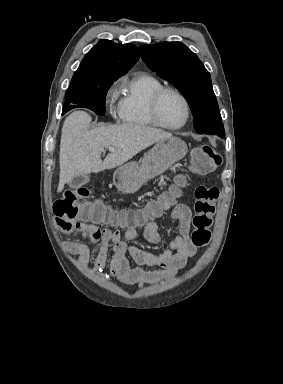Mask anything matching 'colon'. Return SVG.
Here are the masks:
<instances>
[{"mask_svg": "<svg viewBox=\"0 0 283 384\" xmlns=\"http://www.w3.org/2000/svg\"><path fill=\"white\" fill-rule=\"evenodd\" d=\"M220 156L209 145H201L192 151V165L197 174L213 172L220 164ZM87 189H71L64 192L62 198L54 203V214L64 225L82 222L135 228L144 225L155 217L160 208L153 206L144 210H115L103 204H88L84 200L88 197ZM219 189L215 186H198L195 190V215L192 223L194 230L191 235L193 244L203 247L211 238L210 228L216 211Z\"/></svg>", "mask_w": 283, "mask_h": 384, "instance_id": "obj_1", "label": "colon"}]
</instances>
